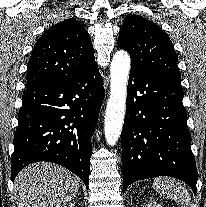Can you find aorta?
<instances>
[{
    "instance_id": "1",
    "label": "aorta",
    "mask_w": 206,
    "mask_h": 207,
    "mask_svg": "<svg viewBox=\"0 0 206 207\" xmlns=\"http://www.w3.org/2000/svg\"><path fill=\"white\" fill-rule=\"evenodd\" d=\"M129 70V54L123 50L117 51L113 56L110 67V97L104 121L105 138L110 146L116 144L122 131Z\"/></svg>"
}]
</instances>
